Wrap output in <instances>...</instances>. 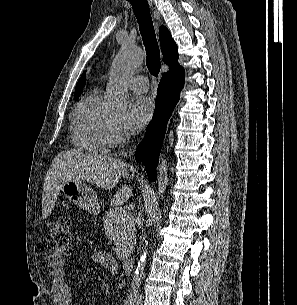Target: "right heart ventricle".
I'll use <instances>...</instances> for the list:
<instances>
[{"label":"right heart ventricle","instance_id":"e07e8e85","mask_svg":"<svg viewBox=\"0 0 297 305\" xmlns=\"http://www.w3.org/2000/svg\"><path fill=\"white\" fill-rule=\"evenodd\" d=\"M111 118L101 106L99 91L85 97L71 117V140L75 148L92 154H107L111 147Z\"/></svg>","mask_w":297,"mask_h":305}]
</instances>
